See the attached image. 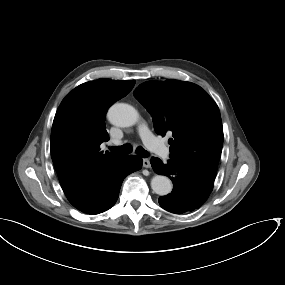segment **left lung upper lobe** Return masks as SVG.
Segmentation results:
<instances>
[{
  "label": "left lung upper lobe",
  "instance_id": "1",
  "mask_svg": "<svg viewBox=\"0 0 285 285\" xmlns=\"http://www.w3.org/2000/svg\"><path fill=\"white\" fill-rule=\"evenodd\" d=\"M133 95L151 114L156 133L172 132L171 159L217 171L223 146L221 115L200 86L172 79L148 81Z\"/></svg>",
  "mask_w": 285,
  "mask_h": 285
}]
</instances>
